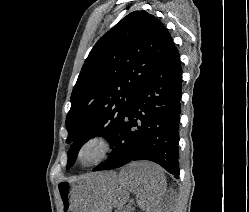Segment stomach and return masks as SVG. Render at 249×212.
Here are the masks:
<instances>
[{"mask_svg": "<svg viewBox=\"0 0 249 212\" xmlns=\"http://www.w3.org/2000/svg\"><path fill=\"white\" fill-rule=\"evenodd\" d=\"M129 184H120L113 170H94V174L75 175V180L60 182L58 192L62 212H109L125 204Z\"/></svg>", "mask_w": 249, "mask_h": 212, "instance_id": "0dacf381", "label": "stomach"}]
</instances>
